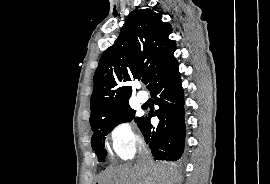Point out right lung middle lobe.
Segmentation results:
<instances>
[{
	"instance_id": "obj_1",
	"label": "right lung middle lobe",
	"mask_w": 270,
	"mask_h": 184,
	"mask_svg": "<svg viewBox=\"0 0 270 184\" xmlns=\"http://www.w3.org/2000/svg\"><path fill=\"white\" fill-rule=\"evenodd\" d=\"M135 111L129 106L123 107L121 110H119L117 113H115L113 116L94 123L91 125L93 136L91 139V145L93 147V150L95 151L98 161L102 162L107 151L104 148L105 143V136L109 134L114 127H116L118 124L122 122L131 121L134 118ZM142 118L136 117L135 122H137V125L139 126Z\"/></svg>"
}]
</instances>
